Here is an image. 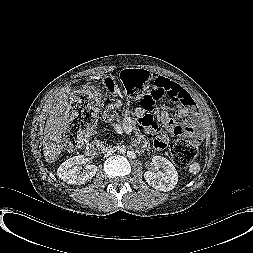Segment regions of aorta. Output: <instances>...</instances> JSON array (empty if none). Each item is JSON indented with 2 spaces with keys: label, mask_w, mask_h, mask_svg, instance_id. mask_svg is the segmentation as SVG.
<instances>
[{
  "label": "aorta",
  "mask_w": 253,
  "mask_h": 253,
  "mask_svg": "<svg viewBox=\"0 0 253 253\" xmlns=\"http://www.w3.org/2000/svg\"><path fill=\"white\" fill-rule=\"evenodd\" d=\"M117 151H118L121 155H124V154L127 152V149H126L123 145H120V146L117 148Z\"/></svg>",
  "instance_id": "762f6f07"
}]
</instances>
